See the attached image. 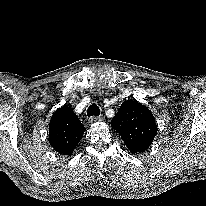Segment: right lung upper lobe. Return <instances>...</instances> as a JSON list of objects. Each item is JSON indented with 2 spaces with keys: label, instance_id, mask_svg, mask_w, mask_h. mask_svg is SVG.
I'll return each mask as SVG.
<instances>
[{
  "label": "right lung upper lobe",
  "instance_id": "obj_1",
  "mask_svg": "<svg viewBox=\"0 0 206 206\" xmlns=\"http://www.w3.org/2000/svg\"><path fill=\"white\" fill-rule=\"evenodd\" d=\"M85 127L70 107L58 108L49 124V142L54 150L70 156L81 140Z\"/></svg>",
  "mask_w": 206,
  "mask_h": 206
}]
</instances>
